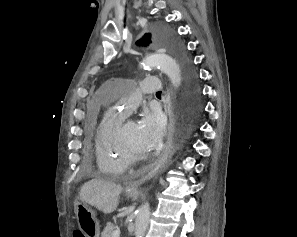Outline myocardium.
<instances>
[{
  "instance_id": "1",
  "label": "myocardium",
  "mask_w": 297,
  "mask_h": 237,
  "mask_svg": "<svg viewBox=\"0 0 297 237\" xmlns=\"http://www.w3.org/2000/svg\"><path fill=\"white\" fill-rule=\"evenodd\" d=\"M123 128H124V124L122 123L119 126L118 130H117V141H118V144H119L121 150L123 151L125 157L130 162V164L131 163L142 162V161L147 160L148 158H150L151 157L150 153H148V152H145V153L136 152L129 146V144L125 140V137H124V134H123Z\"/></svg>"
}]
</instances>
